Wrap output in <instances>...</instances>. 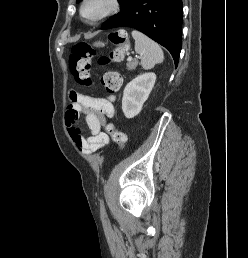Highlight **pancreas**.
Masks as SVG:
<instances>
[{
	"label": "pancreas",
	"mask_w": 248,
	"mask_h": 258,
	"mask_svg": "<svg viewBox=\"0 0 248 258\" xmlns=\"http://www.w3.org/2000/svg\"><path fill=\"white\" fill-rule=\"evenodd\" d=\"M137 65H138V61L134 60L132 62L127 63V69L129 71L134 70L137 67Z\"/></svg>",
	"instance_id": "1"
}]
</instances>
